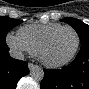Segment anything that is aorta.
<instances>
[{"label": "aorta", "mask_w": 89, "mask_h": 89, "mask_svg": "<svg viewBox=\"0 0 89 89\" xmlns=\"http://www.w3.org/2000/svg\"><path fill=\"white\" fill-rule=\"evenodd\" d=\"M30 77L32 78V80L34 81H41L44 77V71L41 67L39 66H33L31 69H30Z\"/></svg>", "instance_id": "obj_1"}]
</instances>
